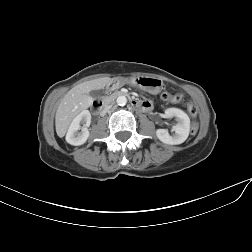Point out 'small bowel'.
I'll list each match as a JSON object with an SVG mask.
<instances>
[{
	"instance_id": "1",
	"label": "small bowel",
	"mask_w": 252,
	"mask_h": 252,
	"mask_svg": "<svg viewBox=\"0 0 252 252\" xmlns=\"http://www.w3.org/2000/svg\"><path fill=\"white\" fill-rule=\"evenodd\" d=\"M142 105H143L142 110H144V111H148L152 107V103L150 101H143Z\"/></svg>"
}]
</instances>
